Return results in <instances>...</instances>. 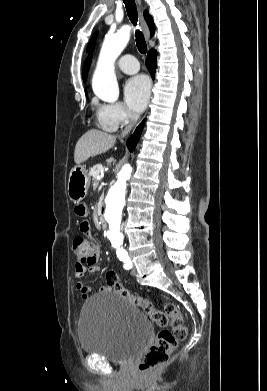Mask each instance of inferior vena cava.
Segmentation results:
<instances>
[{
	"mask_svg": "<svg viewBox=\"0 0 267 391\" xmlns=\"http://www.w3.org/2000/svg\"><path fill=\"white\" fill-rule=\"evenodd\" d=\"M129 118H130V120H131L132 123H131L130 125H128V126L124 129V131L122 132V136H125V135H127V134L130 132V130L132 129L133 123H135V122L138 120L139 115L130 112V113H129Z\"/></svg>",
	"mask_w": 267,
	"mask_h": 391,
	"instance_id": "obj_1",
	"label": "inferior vena cava"
}]
</instances>
